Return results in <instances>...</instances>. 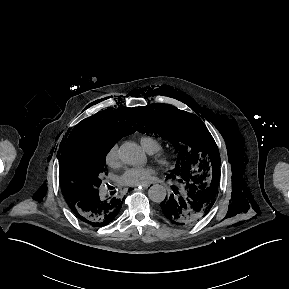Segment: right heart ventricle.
Listing matches in <instances>:
<instances>
[{
    "label": "right heart ventricle",
    "mask_w": 289,
    "mask_h": 289,
    "mask_svg": "<svg viewBox=\"0 0 289 289\" xmlns=\"http://www.w3.org/2000/svg\"><path fill=\"white\" fill-rule=\"evenodd\" d=\"M140 143L149 153L157 152L161 147L157 139L147 135L141 136Z\"/></svg>",
    "instance_id": "1"
}]
</instances>
